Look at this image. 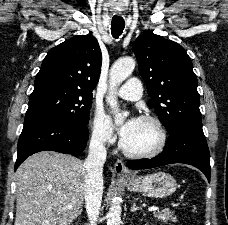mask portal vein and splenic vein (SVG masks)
<instances>
[{
  "mask_svg": "<svg viewBox=\"0 0 228 225\" xmlns=\"http://www.w3.org/2000/svg\"><path fill=\"white\" fill-rule=\"evenodd\" d=\"M173 207H182L183 206V203L182 202H173ZM68 207H72V205H68ZM161 208V205L160 204H157L156 207H149L148 211H158V209Z\"/></svg>",
  "mask_w": 228,
  "mask_h": 225,
  "instance_id": "1",
  "label": "portal vein and splenic vein"
}]
</instances>
